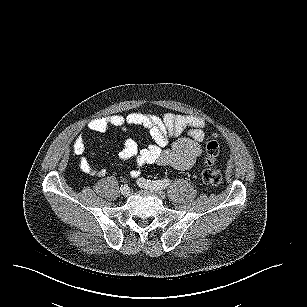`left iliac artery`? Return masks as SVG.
Returning a JSON list of instances; mask_svg holds the SVG:
<instances>
[{
  "instance_id": "left-iliac-artery-1",
  "label": "left iliac artery",
  "mask_w": 307,
  "mask_h": 307,
  "mask_svg": "<svg viewBox=\"0 0 307 307\" xmlns=\"http://www.w3.org/2000/svg\"><path fill=\"white\" fill-rule=\"evenodd\" d=\"M139 183H140V185H142V187H146V188L153 187V188H157L158 190H163L167 186L170 185L171 180L170 179H164V180L151 181V180H145L143 178H140Z\"/></svg>"
}]
</instances>
